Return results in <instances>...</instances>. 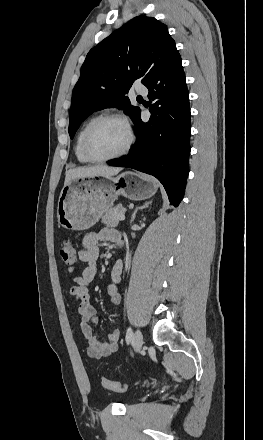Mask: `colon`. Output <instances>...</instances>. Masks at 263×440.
<instances>
[{
  "label": "colon",
  "instance_id": "obj_1",
  "mask_svg": "<svg viewBox=\"0 0 263 440\" xmlns=\"http://www.w3.org/2000/svg\"><path fill=\"white\" fill-rule=\"evenodd\" d=\"M60 256L69 270H75L78 266V260L76 256V246L71 241H64L60 246ZM102 386L113 392H122L126 389V385L120 382H113L105 378L101 379Z\"/></svg>",
  "mask_w": 263,
  "mask_h": 440
}]
</instances>
